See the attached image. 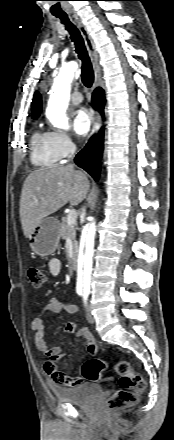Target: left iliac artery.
Masks as SVG:
<instances>
[{
	"label": "left iliac artery",
	"instance_id": "left-iliac-artery-1",
	"mask_svg": "<svg viewBox=\"0 0 174 440\" xmlns=\"http://www.w3.org/2000/svg\"><path fill=\"white\" fill-rule=\"evenodd\" d=\"M83 298H84V303H86L87 297H88V293H84L82 294Z\"/></svg>",
	"mask_w": 174,
	"mask_h": 440
}]
</instances>
